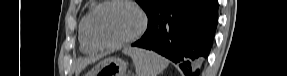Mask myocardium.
<instances>
[{
    "label": "myocardium",
    "mask_w": 287,
    "mask_h": 76,
    "mask_svg": "<svg viewBox=\"0 0 287 76\" xmlns=\"http://www.w3.org/2000/svg\"><path fill=\"white\" fill-rule=\"evenodd\" d=\"M114 3H122V4H126L130 7H132L137 14L140 17V25L138 27V29L135 31V33H133L131 36L122 39L120 41L114 42V43H105L100 41L94 34L93 31V22H94V18L97 14V12L102 9L105 6H108L110 4H114ZM148 26V17L147 14L145 13V11L134 1L132 0H107V1H103L101 3H99L97 6H95L91 12L88 15L87 18V34L89 39L91 40V42L98 47L99 49H117L120 47H123L125 45H128L130 43L135 42L136 40H138L146 31Z\"/></svg>",
    "instance_id": "obj_1"
}]
</instances>
